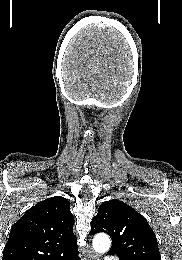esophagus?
Returning a JSON list of instances; mask_svg holds the SVG:
<instances>
[{
  "label": "esophagus",
  "mask_w": 182,
  "mask_h": 260,
  "mask_svg": "<svg viewBox=\"0 0 182 260\" xmlns=\"http://www.w3.org/2000/svg\"><path fill=\"white\" fill-rule=\"evenodd\" d=\"M87 259L88 260H97V256H96L95 252L92 249L88 250Z\"/></svg>",
  "instance_id": "34e87169"
}]
</instances>
